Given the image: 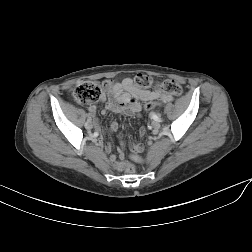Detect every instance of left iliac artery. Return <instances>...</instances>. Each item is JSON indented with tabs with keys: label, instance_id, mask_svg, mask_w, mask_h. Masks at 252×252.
I'll use <instances>...</instances> for the list:
<instances>
[{
	"label": "left iliac artery",
	"instance_id": "44dca946",
	"mask_svg": "<svg viewBox=\"0 0 252 252\" xmlns=\"http://www.w3.org/2000/svg\"><path fill=\"white\" fill-rule=\"evenodd\" d=\"M153 119L156 120V121H158V122H162L163 121L159 116H157L156 118H153Z\"/></svg>",
	"mask_w": 252,
	"mask_h": 252
}]
</instances>
